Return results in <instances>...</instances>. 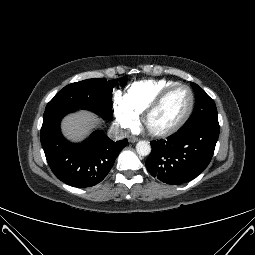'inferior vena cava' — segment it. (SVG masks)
Wrapping results in <instances>:
<instances>
[{"label": "inferior vena cava", "instance_id": "602c4592", "mask_svg": "<svg viewBox=\"0 0 255 255\" xmlns=\"http://www.w3.org/2000/svg\"><path fill=\"white\" fill-rule=\"evenodd\" d=\"M109 136L114 140H121L128 136V132L117 127H112L109 131Z\"/></svg>", "mask_w": 255, "mask_h": 255}]
</instances>
